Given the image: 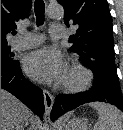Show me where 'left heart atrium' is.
Instances as JSON below:
<instances>
[{"mask_svg": "<svg viewBox=\"0 0 123 130\" xmlns=\"http://www.w3.org/2000/svg\"><path fill=\"white\" fill-rule=\"evenodd\" d=\"M26 73L43 82L62 80L66 75L63 56L51 47H43L30 53L24 63Z\"/></svg>", "mask_w": 123, "mask_h": 130, "instance_id": "obj_1", "label": "left heart atrium"}]
</instances>
